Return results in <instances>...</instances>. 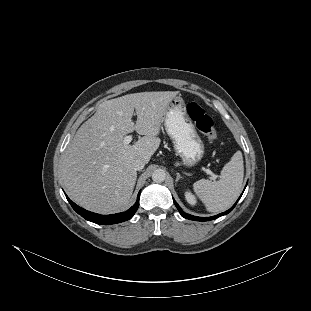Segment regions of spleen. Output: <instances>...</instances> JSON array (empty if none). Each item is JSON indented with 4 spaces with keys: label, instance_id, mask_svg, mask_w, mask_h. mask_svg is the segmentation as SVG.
Instances as JSON below:
<instances>
[{
    "label": "spleen",
    "instance_id": "obj_1",
    "mask_svg": "<svg viewBox=\"0 0 311 311\" xmlns=\"http://www.w3.org/2000/svg\"><path fill=\"white\" fill-rule=\"evenodd\" d=\"M243 176L242 152L237 151L223 167L220 180L201 179L193 184V189L209 212H221L228 209L240 195Z\"/></svg>",
    "mask_w": 311,
    "mask_h": 311
}]
</instances>
